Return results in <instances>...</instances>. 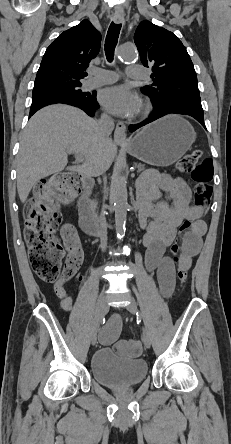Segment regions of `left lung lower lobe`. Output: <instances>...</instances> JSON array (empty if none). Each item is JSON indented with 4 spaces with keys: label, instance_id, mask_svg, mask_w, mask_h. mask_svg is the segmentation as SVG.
<instances>
[{
    "label": "left lung lower lobe",
    "instance_id": "0a47b994",
    "mask_svg": "<svg viewBox=\"0 0 231 444\" xmlns=\"http://www.w3.org/2000/svg\"><path fill=\"white\" fill-rule=\"evenodd\" d=\"M170 113L184 114V115L192 116L199 123H201V125L206 129V127L204 125L203 110L198 109V108L179 106V107H176L175 109H167V110L155 109L148 119H146L145 121H143L141 123H138L135 125H130L129 130L131 132H133V131L137 130L138 128H140L148 123H151V122L155 121L156 119L163 117L164 115H167Z\"/></svg>",
    "mask_w": 231,
    "mask_h": 444
}]
</instances>
